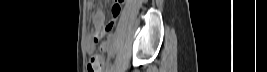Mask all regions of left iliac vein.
<instances>
[{
  "instance_id": "obj_1",
  "label": "left iliac vein",
  "mask_w": 267,
  "mask_h": 72,
  "mask_svg": "<svg viewBox=\"0 0 267 72\" xmlns=\"http://www.w3.org/2000/svg\"><path fill=\"white\" fill-rule=\"evenodd\" d=\"M114 70H113V68L110 70V72H113Z\"/></svg>"
}]
</instances>
